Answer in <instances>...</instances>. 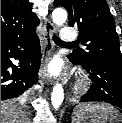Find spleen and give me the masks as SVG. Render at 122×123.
Here are the masks:
<instances>
[{"instance_id": "obj_1", "label": "spleen", "mask_w": 122, "mask_h": 123, "mask_svg": "<svg viewBox=\"0 0 122 123\" xmlns=\"http://www.w3.org/2000/svg\"><path fill=\"white\" fill-rule=\"evenodd\" d=\"M82 116L90 118L92 123L119 122L121 114L113 106L105 103H84L73 111L72 123H79Z\"/></svg>"}]
</instances>
